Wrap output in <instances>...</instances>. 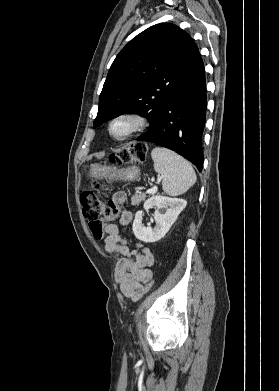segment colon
<instances>
[{
	"instance_id": "1",
	"label": "colon",
	"mask_w": 279,
	"mask_h": 391,
	"mask_svg": "<svg viewBox=\"0 0 279 391\" xmlns=\"http://www.w3.org/2000/svg\"><path fill=\"white\" fill-rule=\"evenodd\" d=\"M147 146L143 143L131 144L112 156V162L118 165L141 163L145 161ZM95 191H85L81 195L83 212L88 220L89 229L96 239L103 237V222L119 215L120 208L113 202L106 201L100 196V191L106 186L93 182ZM153 286V279L148 280L144 286V294L148 293Z\"/></svg>"
}]
</instances>
